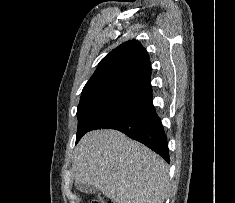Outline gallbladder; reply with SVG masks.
<instances>
[{
	"label": "gallbladder",
	"instance_id": "obj_1",
	"mask_svg": "<svg viewBox=\"0 0 235 203\" xmlns=\"http://www.w3.org/2000/svg\"><path fill=\"white\" fill-rule=\"evenodd\" d=\"M77 189L84 193H95L97 188L92 185L77 183Z\"/></svg>",
	"mask_w": 235,
	"mask_h": 203
}]
</instances>
